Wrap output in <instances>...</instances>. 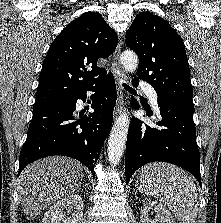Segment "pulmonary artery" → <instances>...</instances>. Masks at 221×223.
<instances>
[{"mask_svg": "<svg viewBox=\"0 0 221 223\" xmlns=\"http://www.w3.org/2000/svg\"><path fill=\"white\" fill-rule=\"evenodd\" d=\"M140 86L143 88L145 91L146 95L148 96L150 103L154 107L156 111H159L158 107V97L156 91L146 82V81H141Z\"/></svg>", "mask_w": 221, "mask_h": 223, "instance_id": "obj_1", "label": "pulmonary artery"}]
</instances>
